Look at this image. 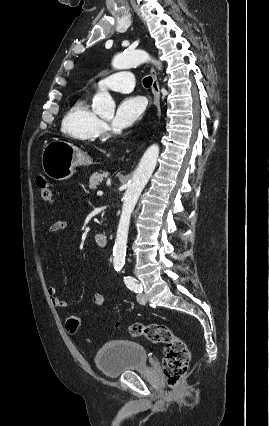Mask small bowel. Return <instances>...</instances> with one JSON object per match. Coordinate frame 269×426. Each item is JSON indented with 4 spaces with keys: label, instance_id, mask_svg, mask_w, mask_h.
<instances>
[{
    "label": "small bowel",
    "instance_id": "obj_1",
    "mask_svg": "<svg viewBox=\"0 0 269 426\" xmlns=\"http://www.w3.org/2000/svg\"><path fill=\"white\" fill-rule=\"evenodd\" d=\"M66 229H67V222L63 220H57L53 222L52 225L49 227V233L57 234V233L65 231ZM47 291L51 298L52 304L56 309L63 310L68 307V303L62 297L58 295V291L56 287L49 286ZM106 301H107V298L100 293L95 294L92 298V303L94 304V306L98 308L104 306ZM70 316H76V315L71 314L69 315V317Z\"/></svg>",
    "mask_w": 269,
    "mask_h": 426
}]
</instances>
